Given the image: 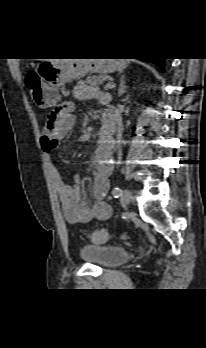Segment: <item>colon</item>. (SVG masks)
<instances>
[{"instance_id":"colon-1","label":"colon","mask_w":206,"mask_h":348,"mask_svg":"<svg viewBox=\"0 0 206 348\" xmlns=\"http://www.w3.org/2000/svg\"><path fill=\"white\" fill-rule=\"evenodd\" d=\"M25 84L30 95L37 99L43 91V84L40 75L35 71H30L25 76ZM91 239L96 243H103L108 239V233L105 230L98 229L91 235Z\"/></svg>"}]
</instances>
